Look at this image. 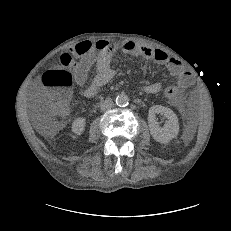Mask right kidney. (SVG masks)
<instances>
[{"instance_id": "ca27d5eb", "label": "right kidney", "mask_w": 231, "mask_h": 231, "mask_svg": "<svg viewBox=\"0 0 231 231\" xmlns=\"http://www.w3.org/2000/svg\"><path fill=\"white\" fill-rule=\"evenodd\" d=\"M85 119L82 117H79L75 119L72 123V132L75 133L76 135H81L84 131L85 128Z\"/></svg>"}]
</instances>
